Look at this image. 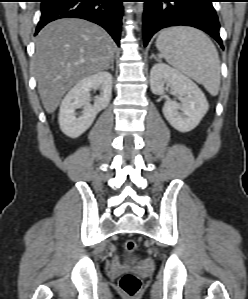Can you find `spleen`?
I'll list each match as a JSON object with an SVG mask.
<instances>
[{
  "label": "spleen",
  "instance_id": "obj_1",
  "mask_svg": "<svg viewBox=\"0 0 248 299\" xmlns=\"http://www.w3.org/2000/svg\"><path fill=\"white\" fill-rule=\"evenodd\" d=\"M156 47L175 69L202 84L212 96L218 94L219 55L205 33L192 27H169L159 34Z\"/></svg>",
  "mask_w": 248,
  "mask_h": 299
}]
</instances>
